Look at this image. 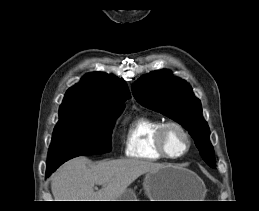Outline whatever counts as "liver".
I'll return each instance as SVG.
<instances>
[{
    "label": "liver",
    "mask_w": 259,
    "mask_h": 211,
    "mask_svg": "<svg viewBox=\"0 0 259 211\" xmlns=\"http://www.w3.org/2000/svg\"><path fill=\"white\" fill-rule=\"evenodd\" d=\"M164 165L139 159L103 160L91 164L86 157L64 163L51 177L55 201H116L142 174ZM94 185L102 188L95 192Z\"/></svg>",
    "instance_id": "1"
}]
</instances>
